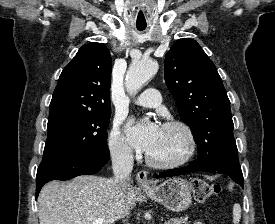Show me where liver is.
Masks as SVG:
<instances>
[{
	"instance_id": "obj_1",
	"label": "liver",
	"mask_w": 275,
	"mask_h": 224,
	"mask_svg": "<svg viewBox=\"0 0 275 224\" xmlns=\"http://www.w3.org/2000/svg\"><path fill=\"white\" fill-rule=\"evenodd\" d=\"M136 194L130 185L125 201L129 213L136 205ZM124 214L114 179L84 175L67 183L51 181L38 196L40 224H93L98 219L113 224Z\"/></svg>"
}]
</instances>
